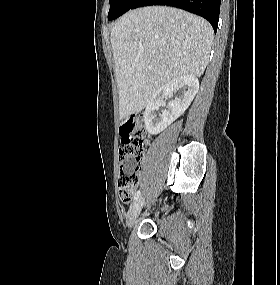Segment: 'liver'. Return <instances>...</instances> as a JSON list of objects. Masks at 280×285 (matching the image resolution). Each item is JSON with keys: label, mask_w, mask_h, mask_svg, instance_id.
<instances>
[{"label": "liver", "mask_w": 280, "mask_h": 285, "mask_svg": "<svg viewBox=\"0 0 280 285\" xmlns=\"http://www.w3.org/2000/svg\"><path fill=\"white\" fill-rule=\"evenodd\" d=\"M212 41L211 25L180 9L144 7L120 17L111 31L120 118L143 110L171 80L200 77Z\"/></svg>", "instance_id": "liver-1"}]
</instances>
